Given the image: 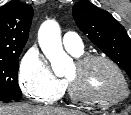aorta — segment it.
<instances>
[{
	"instance_id": "762f6f07",
	"label": "aorta",
	"mask_w": 131,
	"mask_h": 115,
	"mask_svg": "<svg viewBox=\"0 0 131 115\" xmlns=\"http://www.w3.org/2000/svg\"><path fill=\"white\" fill-rule=\"evenodd\" d=\"M38 38L40 47L51 62L54 73L56 75L63 74L69 57L62 47L58 23L53 20L45 21L40 27Z\"/></svg>"
}]
</instances>
